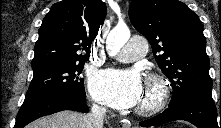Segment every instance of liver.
Segmentation results:
<instances>
[{
    "instance_id": "obj_1",
    "label": "liver",
    "mask_w": 221,
    "mask_h": 128,
    "mask_svg": "<svg viewBox=\"0 0 221 128\" xmlns=\"http://www.w3.org/2000/svg\"><path fill=\"white\" fill-rule=\"evenodd\" d=\"M84 117L85 115L81 113L64 110L42 117L26 128H86Z\"/></svg>"
}]
</instances>
